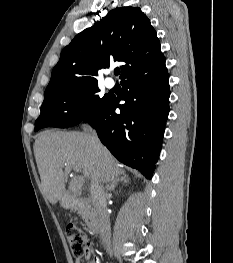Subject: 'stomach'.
<instances>
[{
  "instance_id": "stomach-1",
  "label": "stomach",
  "mask_w": 233,
  "mask_h": 263,
  "mask_svg": "<svg viewBox=\"0 0 233 263\" xmlns=\"http://www.w3.org/2000/svg\"><path fill=\"white\" fill-rule=\"evenodd\" d=\"M60 204H61L63 207H65V208L69 207V200H68V198L62 197V199L60 200Z\"/></svg>"
}]
</instances>
